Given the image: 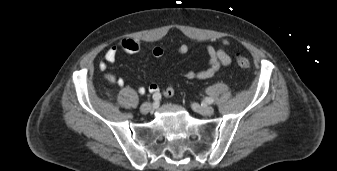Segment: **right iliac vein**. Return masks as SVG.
<instances>
[{"instance_id": "right-iliac-vein-1", "label": "right iliac vein", "mask_w": 337, "mask_h": 171, "mask_svg": "<svg viewBox=\"0 0 337 171\" xmlns=\"http://www.w3.org/2000/svg\"><path fill=\"white\" fill-rule=\"evenodd\" d=\"M153 109V106L151 103L149 102H145L141 105L140 107V112L142 114H147L148 112H150Z\"/></svg>"}]
</instances>
